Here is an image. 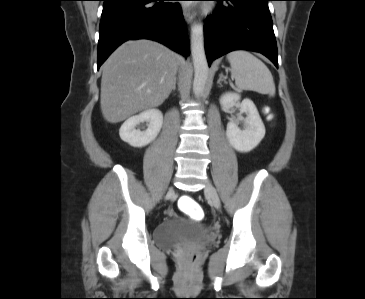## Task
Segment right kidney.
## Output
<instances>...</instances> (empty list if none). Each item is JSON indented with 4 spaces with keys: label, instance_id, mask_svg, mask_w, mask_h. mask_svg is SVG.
<instances>
[{
    "label": "right kidney",
    "instance_id": "right-kidney-1",
    "mask_svg": "<svg viewBox=\"0 0 365 299\" xmlns=\"http://www.w3.org/2000/svg\"><path fill=\"white\" fill-rule=\"evenodd\" d=\"M141 122H148L146 131L136 129ZM163 124V115L158 109H148L127 119L119 130L120 138L133 147H143L155 140Z\"/></svg>",
    "mask_w": 365,
    "mask_h": 299
}]
</instances>
